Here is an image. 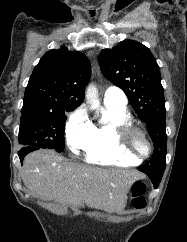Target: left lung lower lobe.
<instances>
[{
	"label": "left lung lower lobe",
	"instance_id": "1",
	"mask_svg": "<svg viewBox=\"0 0 187 242\" xmlns=\"http://www.w3.org/2000/svg\"><path fill=\"white\" fill-rule=\"evenodd\" d=\"M148 175V177L151 179L154 188H157L159 185V182L161 181L162 175L159 174H150V173H146Z\"/></svg>",
	"mask_w": 187,
	"mask_h": 242
}]
</instances>
